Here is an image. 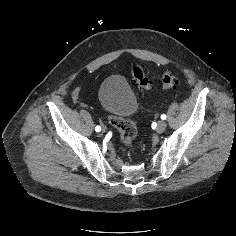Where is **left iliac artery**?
Segmentation results:
<instances>
[{
	"label": "left iliac artery",
	"mask_w": 236,
	"mask_h": 236,
	"mask_svg": "<svg viewBox=\"0 0 236 236\" xmlns=\"http://www.w3.org/2000/svg\"><path fill=\"white\" fill-rule=\"evenodd\" d=\"M166 118H167V116H166L165 114H162V115H161V119H162V120H165Z\"/></svg>",
	"instance_id": "left-iliac-artery-1"
}]
</instances>
